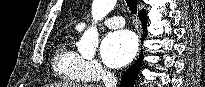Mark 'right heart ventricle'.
Returning a JSON list of instances; mask_svg holds the SVG:
<instances>
[{
  "mask_svg": "<svg viewBox=\"0 0 205 87\" xmlns=\"http://www.w3.org/2000/svg\"><path fill=\"white\" fill-rule=\"evenodd\" d=\"M83 57L70 45V38L65 37L55 48L52 60L54 73L61 80L84 82L86 76L81 71Z\"/></svg>",
  "mask_w": 205,
  "mask_h": 87,
  "instance_id": "1",
  "label": "right heart ventricle"
}]
</instances>
